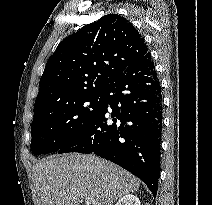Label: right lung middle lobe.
Returning a JSON list of instances; mask_svg holds the SVG:
<instances>
[{
	"label": "right lung middle lobe",
	"instance_id": "dd1d6c3e",
	"mask_svg": "<svg viewBox=\"0 0 212 205\" xmlns=\"http://www.w3.org/2000/svg\"><path fill=\"white\" fill-rule=\"evenodd\" d=\"M104 106L102 93L34 114L31 150L40 155L58 151L85 129Z\"/></svg>",
	"mask_w": 212,
	"mask_h": 205
}]
</instances>
